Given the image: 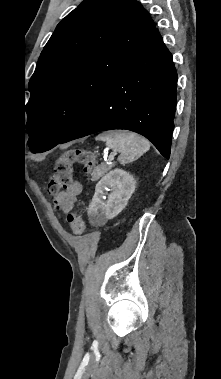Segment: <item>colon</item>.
I'll return each instance as SVG.
<instances>
[{"mask_svg": "<svg viewBox=\"0 0 221 379\" xmlns=\"http://www.w3.org/2000/svg\"><path fill=\"white\" fill-rule=\"evenodd\" d=\"M77 163L89 172L93 169L95 160L90 152L83 149L64 151L58 158L54 173L48 180L47 188L50 193L52 190L67 189L73 184V171ZM68 222L74 234L81 235L85 232V223L79 214H69Z\"/></svg>", "mask_w": 221, "mask_h": 379, "instance_id": "colon-1", "label": "colon"}]
</instances>
